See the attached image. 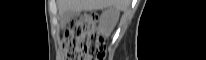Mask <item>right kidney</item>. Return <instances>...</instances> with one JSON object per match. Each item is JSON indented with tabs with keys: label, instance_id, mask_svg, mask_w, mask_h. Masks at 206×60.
Returning a JSON list of instances; mask_svg holds the SVG:
<instances>
[{
	"label": "right kidney",
	"instance_id": "1",
	"mask_svg": "<svg viewBox=\"0 0 206 60\" xmlns=\"http://www.w3.org/2000/svg\"><path fill=\"white\" fill-rule=\"evenodd\" d=\"M119 12L110 8L102 13L101 15V28L106 36H108L113 30L117 20H118Z\"/></svg>",
	"mask_w": 206,
	"mask_h": 60
}]
</instances>
